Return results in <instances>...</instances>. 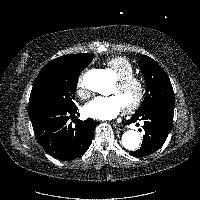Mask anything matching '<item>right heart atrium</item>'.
<instances>
[{
  "instance_id": "right-heart-atrium-1",
  "label": "right heart atrium",
  "mask_w": 200,
  "mask_h": 200,
  "mask_svg": "<svg viewBox=\"0 0 200 200\" xmlns=\"http://www.w3.org/2000/svg\"><path fill=\"white\" fill-rule=\"evenodd\" d=\"M76 92H77V95L81 98H87L89 95V92L84 83L83 74H80L76 80Z\"/></svg>"
}]
</instances>
